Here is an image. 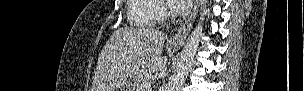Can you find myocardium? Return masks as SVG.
I'll return each mask as SVG.
<instances>
[{"label":"myocardium","mask_w":304,"mask_h":91,"mask_svg":"<svg viewBox=\"0 0 304 91\" xmlns=\"http://www.w3.org/2000/svg\"><path fill=\"white\" fill-rule=\"evenodd\" d=\"M161 6L164 9V11L168 12L170 9V5L168 1H161Z\"/></svg>","instance_id":"1"}]
</instances>
